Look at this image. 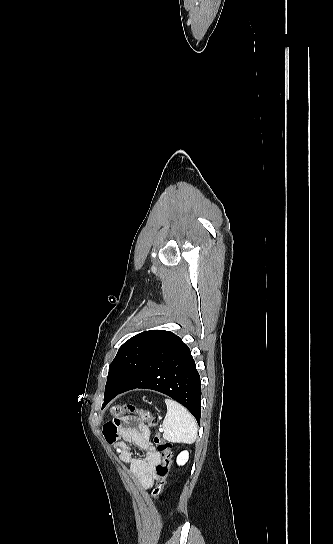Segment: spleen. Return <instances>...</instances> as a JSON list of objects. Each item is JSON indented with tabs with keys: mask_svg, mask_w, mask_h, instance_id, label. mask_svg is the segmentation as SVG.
<instances>
[{
	"mask_svg": "<svg viewBox=\"0 0 333 544\" xmlns=\"http://www.w3.org/2000/svg\"><path fill=\"white\" fill-rule=\"evenodd\" d=\"M167 413L163 420V438L174 443H193L197 437L194 417L178 402L166 399Z\"/></svg>",
	"mask_w": 333,
	"mask_h": 544,
	"instance_id": "spleen-1",
	"label": "spleen"
}]
</instances>
